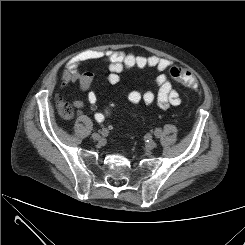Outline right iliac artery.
Returning a JSON list of instances; mask_svg holds the SVG:
<instances>
[{"mask_svg": "<svg viewBox=\"0 0 245 245\" xmlns=\"http://www.w3.org/2000/svg\"><path fill=\"white\" fill-rule=\"evenodd\" d=\"M107 133H108V131H107L106 129H103V130L101 131V134H102L103 136H106Z\"/></svg>", "mask_w": 245, "mask_h": 245, "instance_id": "obj_1", "label": "right iliac artery"}]
</instances>
